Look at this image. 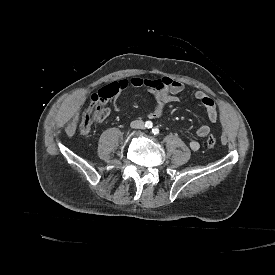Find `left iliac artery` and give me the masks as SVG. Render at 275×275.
I'll list each match as a JSON object with an SVG mask.
<instances>
[{"mask_svg":"<svg viewBox=\"0 0 275 275\" xmlns=\"http://www.w3.org/2000/svg\"><path fill=\"white\" fill-rule=\"evenodd\" d=\"M152 133L154 134V135H158L159 134V129L158 128H153L152 129Z\"/></svg>","mask_w":275,"mask_h":275,"instance_id":"1","label":"left iliac artery"}]
</instances>
